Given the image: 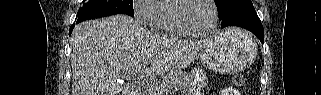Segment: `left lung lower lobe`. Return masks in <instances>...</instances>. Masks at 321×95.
<instances>
[{
    "label": "left lung lower lobe",
    "mask_w": 321,
    "mask_h": 95,
    "mask_svg": "<svg viewBox=\"0 0 321 95\" xmlns=\"http://www.w3.org/2000/svg\"><path fill=\"white\" fill-rule=\"evenodd\" d=\"M220 20H222V28L227 26L245 28L254 33L263 43V26L251 1L233 7Z\"/></svg>",
    "instance_id": "left-lung-lower-lobe-1"
}]
</instances>
